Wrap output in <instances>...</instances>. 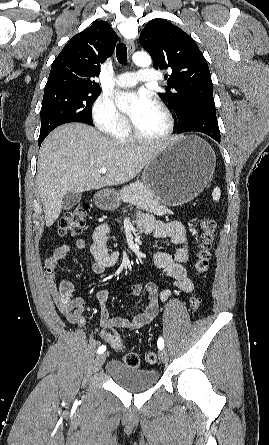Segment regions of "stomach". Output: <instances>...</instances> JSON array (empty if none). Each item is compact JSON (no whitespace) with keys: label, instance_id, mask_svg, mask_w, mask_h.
<instances>
[{"label":"stomach","instance_id":"0dacf381","mask_svg":"<svg viewBox=\"0 0 269 445\" xmlns=\"http://www.w3.org/2000/svg\"><path fill=\"white\" fill-rule=\"evenodd\" d=\"M216 165L213 149L198 136H178L165 145L142 173L144 186L167 206L188 203L208 184ZM95 204L103 210L120 206V194L105 189L95 194Z\"/></svg>","mask_w":269,"mask_h":445}]
</instances>
